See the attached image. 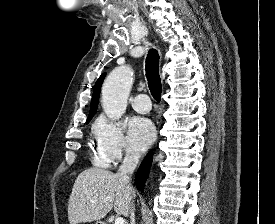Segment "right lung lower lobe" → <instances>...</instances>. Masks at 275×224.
<instances>
[{"label":"right lung lower lobe","mask_w":275,"mask_h":224,"mask_svg":"<svg viewBox=\"0 0 275 224\" xmlns=\"http://www.w3.org/2000/svg\"><path fill=\"white\" fill-rule=\"evenodd\" d=\"M152 163V154L151 152L146 156L144 161L141 163L136 176H135V182L139 190L143 191L144 184L146 182V179L148 178L150 167Z\"/></svg>","instance_id":"obj_1"}]
</instances>
